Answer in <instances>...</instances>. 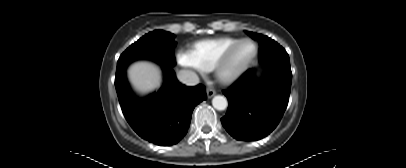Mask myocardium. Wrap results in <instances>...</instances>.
<instances>
[{
	"label": "myocardium",
	"mask_w": 406,
	"mask_h": 168,
	"mask_svg": "<svg viewBox=\"0 0 406 168\" xmlns=\"http://www.w3.org/2000/svg\"><path fill=\"white\" fill-rule=\"evenodd\" d=\"M250 43L254 47L252 55L240 66L230 69V62L240 45ZM258 55L257 44L248 38L237 40L219 58L213 71L217 81L224 85H229L237 81L241 75L250 67Z\"/></svg>",
	"instance_id": "myocardium-1"
}]
</instances>
